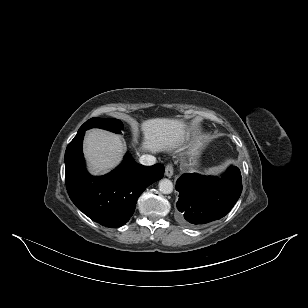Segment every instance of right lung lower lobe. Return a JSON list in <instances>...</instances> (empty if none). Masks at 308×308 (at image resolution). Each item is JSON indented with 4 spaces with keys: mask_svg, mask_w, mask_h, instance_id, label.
<instances>
[{
    "mask_svg": "<svg viewBox=\"0 0 308 308\" xmlns=\"http://www.w3.org/2000/svg\"><path fill=\"white\" fill-rule=\"evenodd\" d=\"M79 130L65 151V182L72 202L90 219L103 226L124 225L134 213L136 202L147 186L161 179L164 166H143L129 154L122 164L104 176H92L85 168Z\"/></svg>",
    "mask_w": 308,
    "mask_h": 308,
    "instance_id": "obj_1",
    "label": "right lung lower lobe"
}]
</instances>
